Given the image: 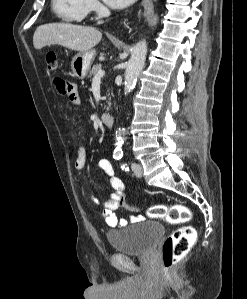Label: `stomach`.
<instances>
[{
	"mask_svg": "<svg viewBox=\"0 0 247 299\" xmlns=\"http://www.w3.org/2000/svg\"><path fill=\"white\" fill-rule=\"evenodd\" d=\"M95 55V50L77 53L71 61L73 75L78 79L85 78L91 68Z\"/></svg>",
	"mask_w": 247,
	"mask_h": 299,
	"instance_id": "stomach-1",
	"label": "stomach"
}]
</instances>
